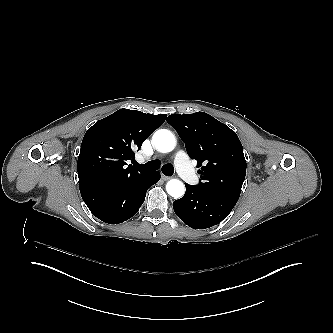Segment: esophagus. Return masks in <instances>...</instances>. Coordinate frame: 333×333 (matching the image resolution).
Listing matches in <instances>:
<instances>
[{"label": "esophagus", "mask_w": 333, "mask_h": 333, "mask_svg": "<svg viewBox=\"0 0 333 333\" xmlns=\"http://www.w3.org/2000/svg\"><path fill=\"white\" fill-rule=\"evenodd\" d=\"M162 179H163L164 181H168L169 179H171V177H169V176H165V175H162Z\"/></svg>", "instance_id": "esophagus-1"}]
</instances>
